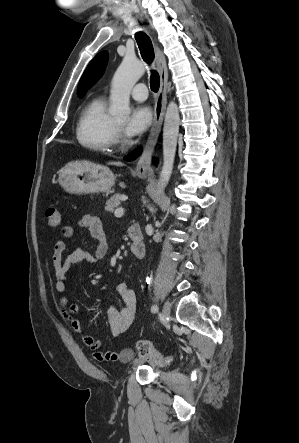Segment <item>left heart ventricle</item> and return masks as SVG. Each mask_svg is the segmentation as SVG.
<instances>
[{"mask_svg": "<svg viewBox=\"0 0 299 443\" xmlns=\"http://www.w3.org/2000/svg\"><path fill=\"white\" fill-rule=\"evenodd\" d=\"M117 124H118V125H122V124H123V121H122V120H119V121H117Z\"/></svg>", "mask_w": 299, "mask_h": 443, "instance_id": "obj_1", "label": "left heart ventricle"}]
</instances>
